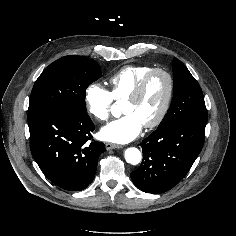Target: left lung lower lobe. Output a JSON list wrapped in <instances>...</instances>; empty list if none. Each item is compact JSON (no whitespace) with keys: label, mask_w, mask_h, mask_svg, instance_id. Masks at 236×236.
Masks as SVG:
<instances>
[{"label":"left lung lower lobe","mask_w":236,"mask_h":236,"mask_svg":"<svg viewBox=\"0 0 236 236\" xmlns=\"http://www.w3.org/2000/svg\"><path fill=\"white\" fill-rule=\"evenodd\" d=\"M203 123L178 122L157 129L140 144L143 160L131 173L135 186L152 194L177 185L188 173L204 144Z\"/></svg>","instance_id":"left-lung-lower-lobe-1"}]
</instances>
